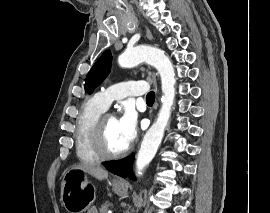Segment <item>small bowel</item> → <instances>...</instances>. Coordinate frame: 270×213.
Here are the masks:
<instances>
[{"instance_id": "c3829d8e", "label": "small bowel", "mask_w": 270, "mask_h": 213, "mask_svg": "<svg viewBox=\"0 0 270 213\" xmlns=\"http://www.w3.org/2000/svg\"><path fill=\"white\" fill-rule=\"evenodd\" d=\"M88 213H97V209L93 206L88 210Z\"/></svg>"}]
</instances>
